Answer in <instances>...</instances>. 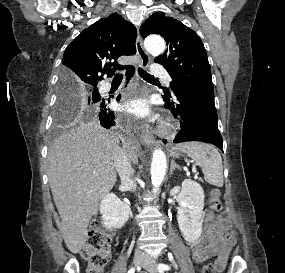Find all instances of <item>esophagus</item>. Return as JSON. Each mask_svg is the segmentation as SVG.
<instances>
[{
  "label": "esophagus",
  "instance_id": "34e87169",
  "mask_svg": "<svg viewBox=\"0 0 285 273\" xmlns=\"http://www.w3.org/2000/svg\"><path fill=\"white\" fill-rule=\"evenodd\" d=\"M136 50H137V55L140 58L141 66L147 68L150 64V57L143 47V41L139 32L137 33ZM143 93L147 95L148 90L146 88H143ZM141 132H142L141 137L144 140V142L148 145L152 144L153 139L150 135L149 126L147 124L142 126Z\"/></svg>",
  "mask_w": 285,
  "mask_h": 273
}]
</instances>
